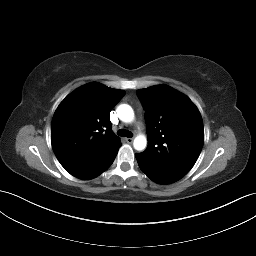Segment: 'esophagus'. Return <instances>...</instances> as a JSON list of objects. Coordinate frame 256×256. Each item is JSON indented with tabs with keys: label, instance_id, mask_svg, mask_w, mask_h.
Returning <instances> with one entry per match:
<instances>
[{
	"label": "esophagus",
	"instance_id": "1",
	"mask_svg": "<svg viewBox=\"0 0 256 256\" xmlns=\"http://www.w3.org/2000/svg\"><path fill=\"white\" fill-rule=\"evenodd\" d=\"M126 142L131 144L133 142V138H126Z\"/></svg>",
	"mask_w": 256,
	"mask_h": 256
}]
</instances>
